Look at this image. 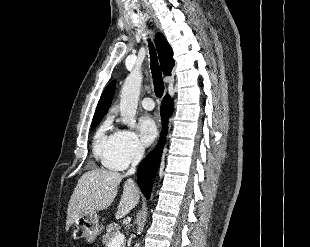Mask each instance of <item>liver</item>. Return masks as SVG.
Returning a JSON list of instances; mask_svg holds the SVG:
<instances>
[{
	"mask_svg": "<svg viewBox=\"0 0 310 247\" xmlns=\"http://www.w3.org/2000/svg\"><path fill=\"white\" fill-rule=\"evenodd\" d=\"M123 177L119 172L106 169H92L85 172L78 180L69 200L66 227L69 228L79 216L108 208L117 195V187ZM138 202L139 190L134 181L128 179L123 186L116 219L127 215Z\"/></svg>",
	"mask_w": 310,
	"mask_h": 247,
	"instance_id": "obj_1",
	"label": "liver"
}]
</instances>
